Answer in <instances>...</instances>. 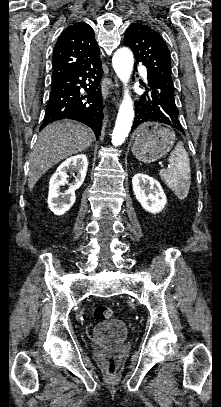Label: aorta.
<instances>
[{"label": "aorta", "mask_w": 221, "mask_h": 407, "mask_svg": "<svg viewBox=\"0 0 221 407\" xmlns=\"http://www.w3.org/2000/svg\"><path fill=\"white\" fill-rule=\"evenodd\" d=\"M113 68L126 85L133 69V54L128 48L118 49L112 58ZM134 118L133 101L128 90L125 91L124 99L120 105L115 127L112 133V144L121 145L127 138Z\"/></svg>", "instance_id": "aorta-1"}]
</instances>
